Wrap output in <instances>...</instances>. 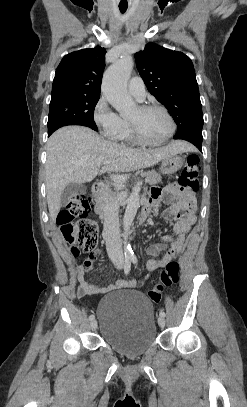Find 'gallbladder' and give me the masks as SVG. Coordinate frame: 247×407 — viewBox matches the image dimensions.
I'll use <instances>...</instances> for the list:
<instances>
[{"mask_svg":"<svg viewBox=\"0 0 247 407\" xmlns=\"http://www.w3.org/2000/svg\"><path fill=\"white\" fill-rule=\"evenodd\" d=\"M86 189L84 184L71 183L67 185L61 194V206H66L72 197L83 194Z\"/></svg>","mask_w":247,"mask_h":407,"instance_id":"1","label":"gallbladder"}]
</instances>
